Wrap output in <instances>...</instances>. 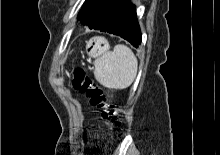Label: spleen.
I'll use <instances>...</instances> for the list:
<instances>
[{"label":"spleen","mask_w":220,"mask_h":155,"mask_svg":"<svg viewBox=\"0 0 220 155\" xmlns=\"http://www.w3.org/2000/svg\"><path fill=\"white\" fill-rule=\"evenodd\" d=\"M138 61L132 50L118 44L94 61V77L105 88H128L137 75Z\"/></svg>","instance_id":"1"}]
</instances>
